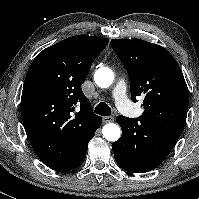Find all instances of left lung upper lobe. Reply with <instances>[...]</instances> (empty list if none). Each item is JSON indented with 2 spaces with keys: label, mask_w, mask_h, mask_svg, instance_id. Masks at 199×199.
<instances>
[{
  "label": "left lung upper lobe",
  "mask_w": 199,
  "mask_h": 199,
  "mask_svg": "<svg viewBox=\"0 0 199 199\" xmlns=\"http://www.w3.org/2000/svg\"><path fill=\"white\" fill-rule=\"evenodd\" d=\"M111 47L123 62L133 102L143 96L139 120L180 137L189 104V91L174 57L163 47L140 39H112Z\"/></svg>",
  "instance_id": "obj_1"
}]
</instances>
